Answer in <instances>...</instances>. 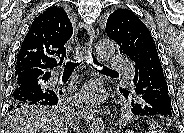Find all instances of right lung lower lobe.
<instances>
[{
  "label": "right lung lower lobe",
  "mask_w": 184,
  "mask_h": 133,
  "mask_svg": "<svg viewBox=\"0 0 184 133\" xmlns=\"http://www.w3.org/2000/svg\"><path fill=\"white\" fill-rule=\"evenodd\" d=\"M52 69L31 68L15 74L12 103L55 106L63 103L62 90H52L47 81Z\"/></svg>",
  "instance_id": "obj_1"
}]
</instances>
